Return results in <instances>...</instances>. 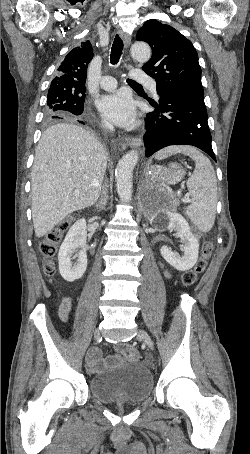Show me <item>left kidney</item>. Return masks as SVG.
I'll use <instances>...</instances> for the list:
<instances>
[{
  "label": "left kidney",
  "instance_id": "5707ae66",
  "mask_svg": "<svg viewBox=\"0 0 250 454\" xmlns=\"http://www.w3.org/2000/svg\"><path fill=\"white\" fill-rule=\"evenodd\" d=\"M163 213L168 218V228L174 230L183 243L184 253L179 256L168 247L162 246L160 249L161 255L175 269L187 271L197 262L199 252L198 238L191 231L188 222L182 215L169 209L163 211Z\"/></svg>",
  "mask_w": 250,
  "mask_h": 454
}]
</instances>
